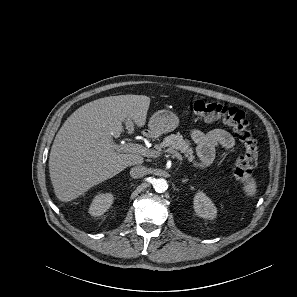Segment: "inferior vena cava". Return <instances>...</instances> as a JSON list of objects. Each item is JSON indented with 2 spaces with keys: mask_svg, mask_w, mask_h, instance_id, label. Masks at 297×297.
I'll use <instances>...</instances> for the list:
<instances>
[{
  "mask_svg": "<svg viewBox=\"0 0 297 297\" xmlns=\"http://www.w3.org/2000/svg\"><path fill=\"white\" fill-rule=\"evenodd\" d=\"M147 172L148 170L145 166L138 165L131 168L130 176L132 178H142L147 174Z\"/></svg>",
  "mask_w": 297,
  "mask_h": 297,
  "instance_id": "inferior-vena-cava-1",
  "label": "inferior vena cava"
}]
</instances>
